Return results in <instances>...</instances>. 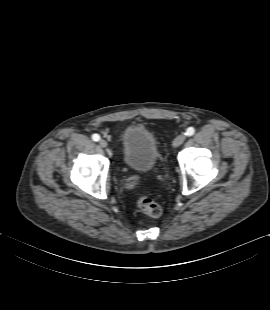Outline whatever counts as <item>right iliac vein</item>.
I'll return each instance as SVG.
<instances>
[{"label":"right iliac vein","instance_id":"1","mask_svg":"<svg viewBox=\"0 0 270 310\" xmlns=\"http://www.w3.org/2000/svg\"><path fill=\"white\" fill-rule=\"evenodd\" d=\"M99 145H100L101 147L105 148V147H107V146H108V143H107V141H106V140L101 139V140L99 141Z\"/></svg>","mask_w":270,"mask_h":310}]
</instances>
